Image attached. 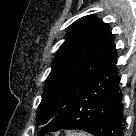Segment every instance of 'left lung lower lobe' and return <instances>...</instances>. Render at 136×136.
<instances>
[{
  "instance_id": "left-lung-lower-lobe-1",
  "label": "left lung lower lobe",
  "mask_w": 136,
  "mask_h": 136,
  "mask_svg": "<svg viewBox=\"0 0 136 136\" xmlns=\"http://www.w3.org/2000/svg\"><path fill=\"white\" fill-rule=\"evenodd\" d=\"M113 46L105 63L83 84L74 98L44 127L39 136L60 129H80L94 136H122L121 93Z\"/></svg>"
}]
</instances>
